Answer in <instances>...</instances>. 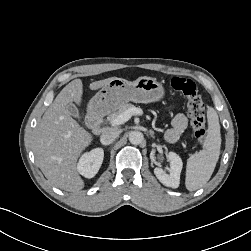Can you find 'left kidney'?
Masks as SVG:
<instances>
[{
  "instance_id": "5707ae66",
  "label": "left kidney",
  "mask_w": 251,
  "mask_h": 251,
  "mask_svg": "<svg viewBox=\"0 0 251 251\" xmlns=\"http://www.w3.org/2000/svg\"><path fill=\"white\" fill-rule=\"evenodd\" d=\"M167 158L170 162L169 174L161 168H155L154 174L163 185L177 188L180 183V173L183 167V162L179 155L174 152H169Z\"/></svg>"
}]
</instances>
